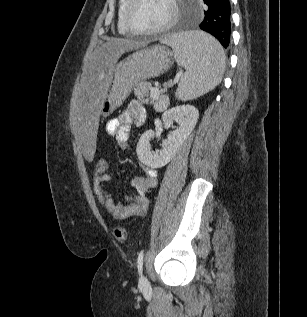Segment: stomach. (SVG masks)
I'll return each instance as SVG.
<instances>
[{
    "instance_id": "obj_1",
    "label": "stomach",
    "mask_w": 307,
    "mask_h": 317,
    "mask_svg": "<svg viewBox=\"0 0 307 317\" xmlns=\"http://www.w3.org/2000/svg\"><path fill=\"white\" fill-rule=\"evenodd\" d=\"M172 63V52L163 45L140 49L116 64L111 82L101 102L100 113L111 114L126 99L134 86L165 73Z\"/></svg>"
}]
</instances>
